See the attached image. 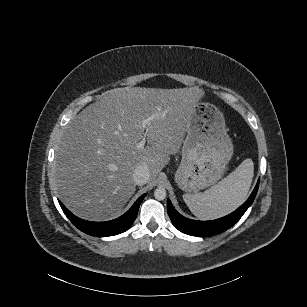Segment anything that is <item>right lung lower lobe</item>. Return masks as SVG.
Listing matches in <instances>:
<instances>
[{"instance_id":"obj_1","label":"right lung lower lobe","mask_w":307,"mask_h":307,"mask_svg":"<svg viewBox=\"0 0 307 307\" xmlns=\"http://www.w3.org/2000/svg\"><path fill=\"white\" fill-rule=\"evenodd\" d=\"M145 196L146 194L139 197L134 205L124 215L106 222L82 220L73 215L60 201L59 203L66 216L79 230L92 236L105 237L120 234L131 227L137 216L139 206Z\"/></svg>"}]
</instances>
